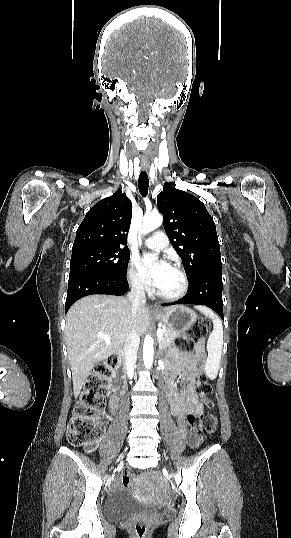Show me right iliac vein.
<instances>
[{
	"instance_id": "right-iliac-vein-1",
	"label": "right iliac vein",
	"mask_w": 291,
	"mask_h": 538,
	"mask_svg": "<svg viewBox=\"0 0 291 538\" xmlns=\"http://www.w3.org/2000/svg\"><path fill=\"white\" fill-rule=\"evenodd\" d=\"M123 457H124V454H121V455L119 456V459H122Z\"/></svg>"
}]
</instances>
